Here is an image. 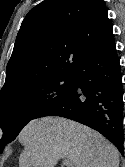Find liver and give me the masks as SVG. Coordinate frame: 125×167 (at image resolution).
Instances as JSON below:
<instances>
[{"instance_id":"obj_1","label":"liver","mask_w":125,"mask_h":167,"mask_svg":"<svg viewBox=\"0 0 125 167\" xmlns=\"http://www.w3.org/2000/svg\"><path fill=\"white\" fill-rule=\"evenodd\" d=\"M24 150L19 167H55L68 159L73 167H118L119 152L105 137L78 122L43 117L29 122L19 134Z\"/></svg>"}]
</instances>
